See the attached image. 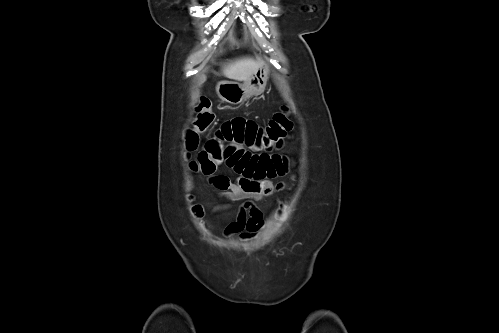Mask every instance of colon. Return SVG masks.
I'll return each mask as SVG.
<instances>
[{"label":"colon","mask_w":499,"mask_h":333,"mask_svg":"<svg viewBox=\"0 0 499 333\" xmlns=\"http://www.w3.org/2000/svg\"><path fill=\"white\" fill-rule=\"evenodd\" d=\"M197 119L194 128L189 130L185 136V144L188 151L197 148L199 142L198 133L206 130L212 123L214 115L210 111V103L202 99L197 107ZM292 127V122L285 109L275 113L264 127L263 145L272 147L283 139ZM225 160L222 142L214 137L206 143L204 149L199 151L197 157L190 161V167L194 171L205 175L213 174L218 165ZM193 210L196 214L202 213L201 207L195 205ZM282 213V212H280Z\"/></svg>","instance_id":"obj_1"}]
</instances>
